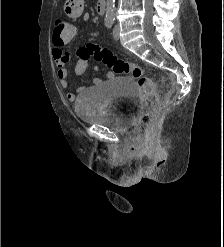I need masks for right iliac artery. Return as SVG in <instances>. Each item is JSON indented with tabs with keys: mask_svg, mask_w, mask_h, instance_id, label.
Listing matches in <instances>:
<instances>
[{
	"mask_svg": "<svg viewBox=\"0 0 224 247\" xmlns=\"http://www.w3.org/2000/svg\"><path fill=\"white\" fill-rule=\"evenodd\" d=\"M114 20L112 18H107L105 20V25L107 28H111L113 26Z\"/></svg>",
	"mask_w": 224,
	"mask_h": 247,
	"instance_id": "obj_1",
	"label": "right iliac artery"
}]
</instances>
